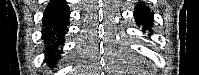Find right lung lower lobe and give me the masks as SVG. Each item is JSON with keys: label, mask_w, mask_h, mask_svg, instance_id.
Wrapping results in <instances>:
<instances>
[{"label": "right lung lower lobe", "mask_w": 199, "mask_h": 75, "mask_svg": "<svg viewBox=\"0 0 199 75\" xmlns=\"http://www.w3.org/2000/svg\"><path fill=\"white\" fill-rule=\"evenodd\" d=\"M43 25L46 27L43 39L48 45L47 62L54 65L60 58L59 45L64 44V35L69 25V7L63 0H51L43 16ZM56 53V54H55Z\"/></svg>", "instance_id": "98d812e1"}]
</instances>
